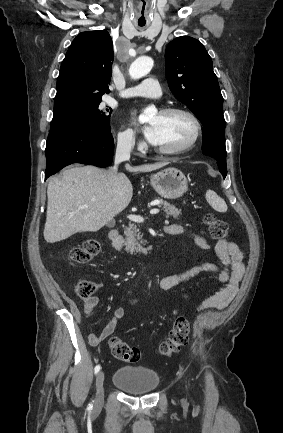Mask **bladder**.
Masks as SVG:
<instances>
[{"mask_svg":"<svg viewBox=\"0 0 283 433\" xmlns=\"http://www.w3.org/2000/svg\"><path fill=\"white\" fill-rule=\"evenodd\" d=\"M113 383L125 392L149 393L159 384L158 373L143 366L119 367Z\"/></svg>","mask_w":283,"mask_h":433,"instance_id":"bladder-1","label":"bladder"}]
</instances>
